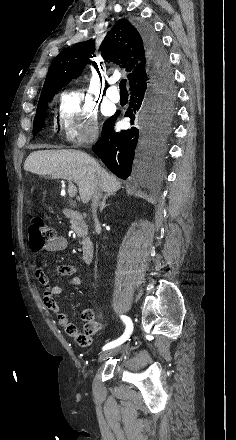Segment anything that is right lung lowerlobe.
Wrapping results in <instances>:
<instances>
[{
	"label": "right lung lower lobe",
	"instance_id": "obj_1",
	"mask_svg": "<svg viewBox=\"0 0 236 440\" xmlns=\"http://www.w3.org/2000/svg\"><path fill=\"white\" fill-rule=\"evenodd\" d=\"M139 28L148 56L150 78L148 82L130 90V103L125 116L131 118V124L135 117L140 118L141 124L139 128L132 127L115 132V115L105 121L102 135L93 146V151L103 163L122 179L130 176L134 156L136 155V162L143 163L158 143L159 109L156 106L154 90L168 81L174 82L169 58L161 40L149 26L141 25Z\"/></svg>",
	"mask_w": 236,
	"mask_h": 440
}]
</instances>
